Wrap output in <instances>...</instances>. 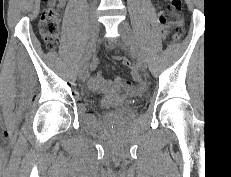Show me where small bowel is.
I'll return each instance as SVG.
<instances>
[{
  "mask_svg": "<svg viewBox=\"0 0 231 177\" xmlns=\"http://www.w3.org/2000/svg\"><path fill=\"white\" fill-rule=\"evenodd\" d=\"M66 0H59L58 6L63 8L65 6ZM167 32V29L164 33ZM133 75L135 78L138 77L136 69L133 70ZM89 88L96 93H107L118 89L126 90H135L137 92H142L144 86L140 85L137 88H134L133 84L130 81L124 80L121 77H116L113 80L105 79L102 72L95 73L88 82Z\"/></svg>",
  "mask_w": 231,
  "mask_h": 177,
  "instance_id": "1",
  "label": "small bowel"
}]
</instances>
